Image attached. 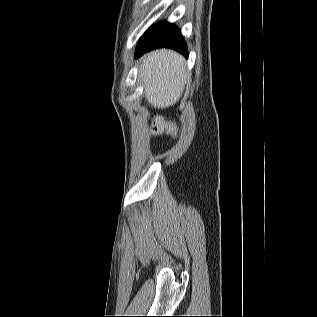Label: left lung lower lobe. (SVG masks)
<instances>
[{
	"label": "left lung lower lobe",
	"instance_id": "left-lung-lower-lobe-1",
	"mask_svg": "<svg viewBox=\"0 0 317 317\" xmlns=\"http://www.w3.org/2000/svg\"><path fill=\"white\" fill-rule=\"evenodd\" d=\"M164 47L178 51L188 58L186 44L180 30L167 22H159L145 32L137 45L135 58L148 51Z\"/></svg>",
	"mask_w": 317,
	"mask_h": 317
}]
</instances>
